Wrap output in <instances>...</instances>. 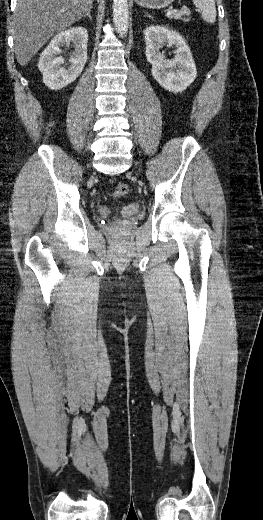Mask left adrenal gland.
Listing matches in <instances>:
<instances>
[{"label": "left adrenal gland", "mask_w": 263, "mask_h": 520, "mask_svg": "<svg viewBox=\"0 0 263 520\" xmlns=\"http://www.w3.org/2000/svg\"><path fill=\"white\" fill-rule=\"evenodd\" d=\"M145 17L152 18V16L149 15L148 13H145Z\"/></svg>", "instance_id": "a2214340"}]
</instances>
